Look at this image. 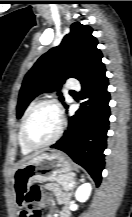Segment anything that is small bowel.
I'll list each match as a JSON object with an SVG mask.
<instances>
[{
    "label": "small bowel",
    "mask_w": 132,
    "mask_h": 217,
    "mask_svg": "<svg viewBox=\"0 0 132 217\" xmlns=\"http://www.w3.org/2000/svg\"><path fill=\"white\" fill-rule=\"evenodd\" d=\"M46 188L48 190H51L54 192L55 194V199L56 202L60 205H66L69 202V195L65 192H63L59 187H57L56 185L53 184H47ZM25 194L26 191L23 189H16V201L19 207L22 208V210L19 213L20 217H29L30 216V211L32 208H37L38 209V205L37 204H28L25 201ZM42 204L44 207L46 208H50L53 206L54 202L51 198L49 197H44L42 199ZM47 217H53L52 215H48ZM61 217H67L65 212L61 213Z\"/></svg>",
    "instance_id": "small-bowel-1"
}]
</instances>
